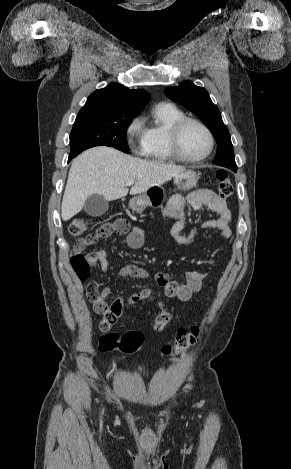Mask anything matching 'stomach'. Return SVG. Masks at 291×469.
Segmentation results:
<instances>
[{
	"instance_id": "stomach-1",
	"label": "stomach",
	"mask_w": 291,
	"mask_h": 469,
	"mask_svg": "<svg viewBox=\"0 0 291 469\" xmlns=\"http://www.w3.org/2000/svg\"><path fill=\"white\" fill-rule=\"evenodd\" d=\"M198 181V175L193 170H185L174 177V184L178 190L188 191L192 189ZM166 199L165 189L159 186H152L144 193L133 197L129 202V207L142 212L147 207H159Z\"/></svg>"
}]
</instances>
